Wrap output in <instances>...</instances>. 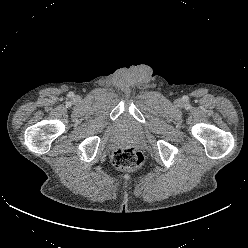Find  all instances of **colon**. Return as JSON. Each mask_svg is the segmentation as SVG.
<instances>
[{
  "label": "colon",
  "mask_w": 248,
  "mask_h": 248,
  "mask_svg": "<svg viewBox=\"0 0 248 248\" xmlns=\"http://www.w3.org/2000/svg\"><path fill=\"white\" fill-rule=\"evenodd\" d=\"M112 161L118 169L135 170L141 167L144 157L133 147H120L113 152Z\"/></svg>",
  "instance_id": "obj_1"
}]
</instances>
